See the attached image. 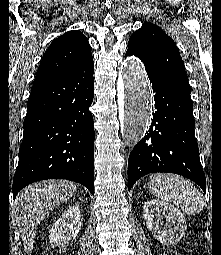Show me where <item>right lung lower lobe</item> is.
Here are the masks:
<instances>
[{
  "label": "right lung lower lobe",
  "mask_w": 221,
  "mask_h": 255,
  "mask_svg": "<svg viewBox=\"0 0 221 255\" xmlns=\"http://www.w3.org/2000/svg\"><path fill=\"white\" fill-rule=\"evenodd\" d=\"M93 59L77 70L34 84L12 192L45 179H67L94 194Z\"/></svg>",
  "instance_id": "98d812e1"
}]
</instances>
